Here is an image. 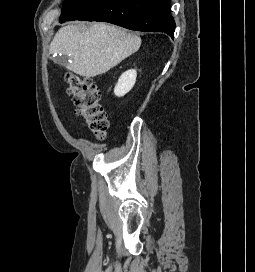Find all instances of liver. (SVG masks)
Segmentation results:
<instances>
[{
  "mask_svg": "<svg viewBox=\"0 0 255 272\" xmlns=\"http://www.w3.org/2000/svg\"><path fill=\"white\" fill-rule=\"evenodd\" d=\"M141 38L108 23L64 26L56 33L49 52L61 54L65 67L84 77L104 74L135 53Z\"/></svg>",
  "mask_w": 255,
  "mask_h": 272,
  "instance_id": "1",
  "label": "liver"
}]
</instances>
